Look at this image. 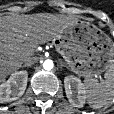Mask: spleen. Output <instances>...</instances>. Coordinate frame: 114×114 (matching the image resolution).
I'll list each match as a JSON object with an SVG mask.
<instances>
[{"label": "spleen", "instance_id": "1", "mask_svg": "<svg viewBox=\"0 0 114 114\" xmlns=\"http://www.w3.org/2000/svg\"><path fill=\"white\" fill-rule=\"evenodd\" d=\"M104 78L102 83H97L92 79L84 81L87 103L93 109L107 106L114 97V66L107 69Z\"/></svg>", "mask_w": 114, "mask_h": 114}]
</instances>
